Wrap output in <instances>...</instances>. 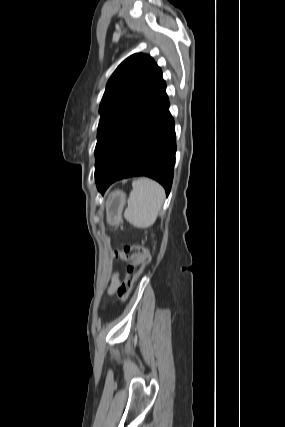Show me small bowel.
Instances as JSON below:
<instances>
[{"label": "small bowel", "mask_w": 285, "mask_h": 427, "mask_svg": "<svg viewBox=\"0 0 285 427\" xmlns=\"http://www.w3.org/2000/svg\"><path fill=\"white\" fill-rule=\"evenodd\" d=\"M119 278H118V274H115L113 277H112V281H111V285H110V287H109V293L110 294H114V293H116V291H117V289H118V287H119Z\"/></svg>", "instance_id": "obj_1"}]
</instances>
